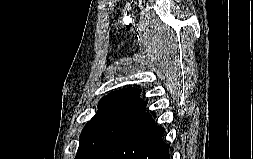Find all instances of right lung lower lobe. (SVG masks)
I'll list each match as a JSON object with an SVG mask.
<instances>
[{"label":"right lung lower lobe","instance_id":"1","mask_svg":"<svg viewBox=\"0 0 253 159\" xmlns=\"http://www.w3.org/2000/svg\"><path fill=\"white\" fill-rule=\"evenodd\" d=\"M163 131L149 116L91 159H170L169 145L161 138Z\"/></svg>","mask_w":253,"mask_h":159}]
</instances>
